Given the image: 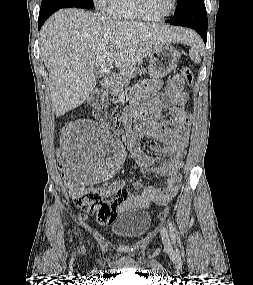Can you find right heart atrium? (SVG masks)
Returning a JSON list of instances; mask_svg holds the SVG:
<instances>
[{
    "mask_svg": "<svg viewBox=\"0 0 253 285\" xmlns=\"http://www.w3.org/2000/svg\"><path fill=\"white\" fill-rule=\"evenodd\" d=\"M95 5L100 8V9H104L108 3V0H93Z\"/></svg>",
    "mask_w": 253,
    "mask_h": 285,
    "instance_id": "d8ad5b80",
    "label": "right heart atrium"
}]
</instances>
